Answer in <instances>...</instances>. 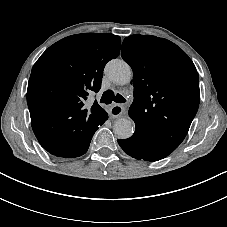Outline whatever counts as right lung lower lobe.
<instances>
[{
	"mask_svg": "<svg viewBox=\"0 0 227 227\" xmlns=\"http://www.w3.org/2000/svg\"><path fill=\"white\" fill-rule=\"evenodd\" d=\"M88 147H89V145L86 148H84L83 150L79 151L78 153H71V154H69V153L68 154H65V153L53 152V151H48V150L47 151L50 152L51 154L57 156V157L73 158V157L81 156L84 153H86L87 150H88Z\"/></svg>",
	"mask_w": 227,
	"mask_h": 227,
	"instance_id": "obj_1",
	"label": "right lung lower lobe"
}]
</instances>
